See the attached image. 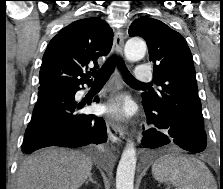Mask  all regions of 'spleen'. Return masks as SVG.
<instances>
[{"mask_svg": "<svg viewBox=\"0 0 223 189\" xmlns=\"http://www.w3.org/2000/svg\"><path fill=\"white\" fill-rule=\"evenodd\" d=\"M153 177L176 189H217L216 181L200 160L177 154L160 157L152 166Z\"/></svg>", "mask_w": 223, "mask_h": 189, "instance_id": "spleen-1", "label": "spleen"}]
</instances>
